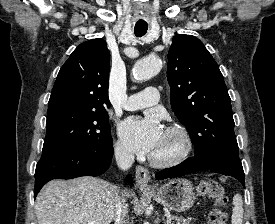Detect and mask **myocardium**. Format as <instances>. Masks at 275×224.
I'll use <instances>...</instances> for the list:
<instances>
[{"label":"myocardium","mask_w":275,"mask_h":224,"mask_svg":"<svg viewBox=\"0 0 275 224\" xmlns=\"http://www.w3.org/2000/svg\"><path fill=\"white\" fill-rule=\"evenodd\" d=\"M166 134L173 137L178 142V149L175 153L166 157H156L151 155L149 161L157 167H169L183 162L192 149V139L185 127L178 124H171L165 129Z\"/></svg>","instance_id":"myocardium-1"}]
</instances>
